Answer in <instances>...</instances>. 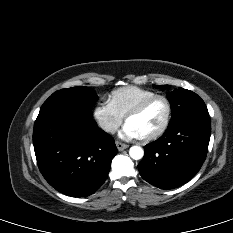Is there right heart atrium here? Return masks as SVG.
Segmentation results:
<instances>
[{"label":"right heart atrium","mask_w":233,"mask_h":233,"mask_svg":"<svg viewBox=\"0 0 233 233\" xmlns=\"http://www.w3.org/2000/svg\"><path fill=\"white\" fill-rule=\"evenodd\" d=\"M93 117L99 127L108 134L115 133L123 122V117L110 102H100L93 110Z\"/></svg>","instance_id":"d8ad5b80"}]
</instances>
